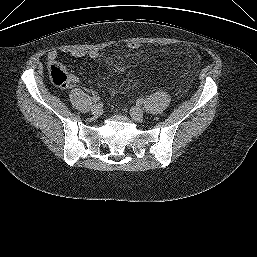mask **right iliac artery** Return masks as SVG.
Returning <instances> with one entry per match:
<instances>
[{
    "label": "right iliac artery",
    "mask_w": 257,
    "mask_h": 257,
    "mask_svg": "<svg viewBox=\"0 0 257 257\" xmlns=\"http://www.w3.org/2000/svg\"><path fill=\"white\" fill-rule=\"evenodd\" d=\"M99 100H100V98L98 96H93L92 97V101L95 102V103L98 102Z\"/></svg>",
    "instance_id": "82829eb1"
}]
</instances>
